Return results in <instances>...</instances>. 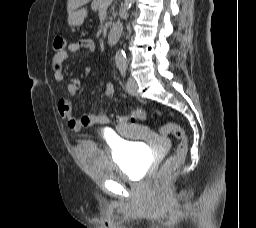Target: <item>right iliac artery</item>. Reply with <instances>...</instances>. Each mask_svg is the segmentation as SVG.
<instances>
[{
	"label": "right iliac artery",
	"mask_w": 256,
	"mask_h": 228,
	"mask_svg": "<svg viewBox=\"0 0 256 228\" xmlns=\"http://www.w3.org/2000/svg\"><path fill=\"white\" fill-rule=\"evenodd\" d=\"M119 70H120V72H121V75L123 76V77H125L126 76V66H120L119 67Z\"/></svg>",
	"instance_id": "right-iliac-artery-1"
}]
</instances>
